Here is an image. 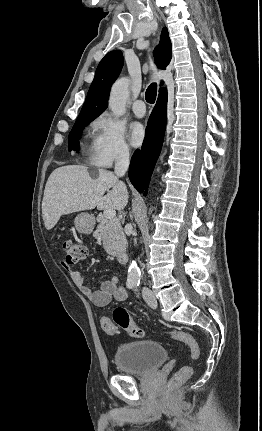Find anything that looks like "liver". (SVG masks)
I'll return each instance as SVG.
<instances>
[{"label": "liver", "instance_id": "liver-1", "mask_svg": "<svg viewBox=\"0 0 262 431\" xmlns=\"http://www.w3.org/2000/svg\"><path fill=\"white\" fill-rule=\"evenodd\" d=\"M96 173L97 176L92 177L85 166L66 165L50 174L42 201L47 230H51L62 215L96 207L118 211L126 207L129 195L124 182L105 169H98Z\"/></svg>", "mask_w": 262, "mask_h": 431}]
</instances>
